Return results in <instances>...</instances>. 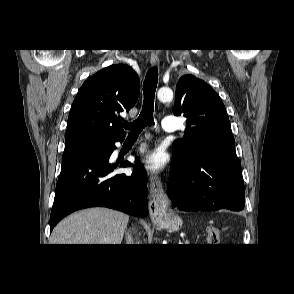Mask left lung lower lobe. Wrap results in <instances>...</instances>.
<instances>
[{
    "instance_id": "left-lung-lower-lobe-1",
    "label": "left lung lower lobe",
    "mask_w": 294,
    "mask_h": 294,
    "mask_svg": "<svg viewBox=\"0 0 294 294\" xmlns=\"http://www.w3.org/2000/svg\"><path fill=\"white\" fill-rule=\"evenodd\" d=\"M168 196L183 211H240L245 206L244 182L238 158L173 154Z\"/></svg>"
}]
</instances>
